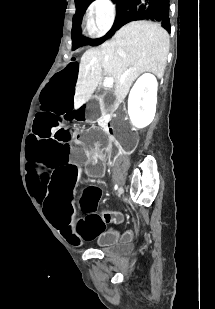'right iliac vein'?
I'll list each match as a JSON object with an SVG mask.
<instances>
[{
	"label": "right iliac vein",
	"mask_w": 215,
	"mask_h": 309,
	"mask_svg": "<svg viewBox=\"0 0 215 309\" xmlns=\"http://www.w3.org/2000/svg\"><path fill=\"white\" fill-rule=\"evenodd\" d=\"M123 193V188L121 187L120 190L118 191V195L120 196Z\"/></svg>",
	"instance_id": "obj_1"
}]
</instances>
